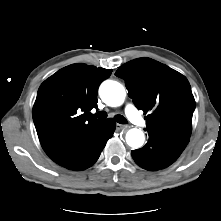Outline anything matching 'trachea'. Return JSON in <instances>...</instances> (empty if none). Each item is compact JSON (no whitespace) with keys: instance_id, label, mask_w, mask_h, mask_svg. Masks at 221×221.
<instances>
[{"instance_id":"1","label":"trachea","mask_w":221,"mask_h":221,"mask_svg":"<svg viewBox=\"0 0 221 221\" xmlns=\"http://www.w3.org/2000/svg\"><path fill=\"white\" fill-rule=\"evenodd\" d=\"M95 117L96 118H99V119H105L107 117V113L105 111H99L98 113L95 114ZM115 121L120 123V124H126L127 123V120L125 117H123L122 115L120 114H117L115 117H114Z\"/></svg>"}]
</instances>
